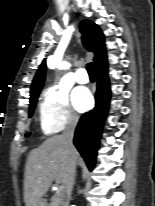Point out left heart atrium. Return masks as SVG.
I'll use <instances>...</instances> for the list:
<instances>
[{"mask_svg":"<svg viewBox=\"0 0 155 206\" xmlns=\"http://www.w3.org/2000/svg\"><path fill=\"white\" fill-rule=\"evenodd\" d=\"M73 105L76 110L82 112L90 108L92 97L86 88H76L72 94Z\"/></svg>","mask_w":155,"mask_h":206,"instance_id":"left-heart-atrium-1","label":"left heart atrium"}]
</instances>
